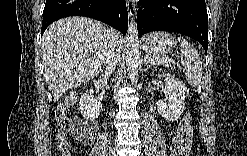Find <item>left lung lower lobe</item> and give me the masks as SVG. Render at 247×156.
<instances>
[{
  "instance_id": "0a47b994",
  "label": "left lung lower lobe",
  "mask_w": 247,
  "mask_h": 156,
  "mask_svg": "<svg viewBox=\"0 0 247 156\" xmlns=\"http://www.w3.org/2000/svg\"><path fill=\"white\" fill-rule=\"evenodd\" d=\"M139 36L151 31H171L197 40L207 53L208 15L205 0H140Z\"/></svg>"
}]
</instances>
